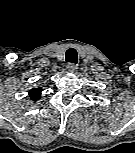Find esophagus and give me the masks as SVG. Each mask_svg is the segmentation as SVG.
Masks as SVG:
<instances>
[{"instance_id":"34e87169","label":"esophagus","mask_w":135,"mask_h":153,"mask_svg":"<svg viewBox=\"0 0 135 153\" xmlns=\"http://www.w3.org/2000/svg\"><path fill=\"white\" fill-rule=\"evenodd\" d=\"M67 68H68V70L70 71V72H76L77 71V65L76 64H74V63H69L68 65H67Z\"/></svg>"}]
</instances>
